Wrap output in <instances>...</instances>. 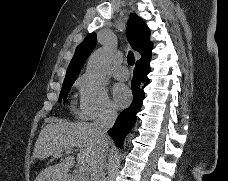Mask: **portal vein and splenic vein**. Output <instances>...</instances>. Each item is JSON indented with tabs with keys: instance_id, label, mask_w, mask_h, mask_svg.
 <instances>
[{
	"instance_id": "portal-vein-and-splenic-vein-1",
	"label": "portal vein and splenic vein",
	"mask_w": 228,
	"mask_h": 181,
	"mask_svg": "<svg viewBox=\"0 0 228 181\" xmlns=\"http://www.w3.org/2000/svg\"><path fill=\"white\" fill-rule=\"evenodd\" d=\"M65 153H67V155H69V153H75V149H68V151H65ZM54 157H58L59 159V157H62V155H54ZM78 173H80L82 177H84V175H87V173H89L88 165H79Z\"/></svg>"
}]
</instances>
